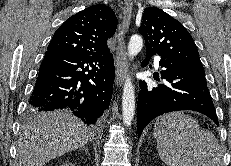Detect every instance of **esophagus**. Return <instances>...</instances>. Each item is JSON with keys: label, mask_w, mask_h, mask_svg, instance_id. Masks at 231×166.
Returning <instances> with one entry per match:
<instances>
[{"label": "esophagus", "mask_w": 231, "mask_h": 166, "mask_svg": "<svg viewBox=\"0 0 231 166\" xmlns=\"http://www.w3.org/2000/svg\"><path fill=\"white\" fill-rule=\"evenodd\" d=\"M133 2L132 0H124L123 7V27L127 31L132 14ZM127 72V51L125 41L119 42L116 51V80L115 83L117 86L123 84L125 75Z\"/></svg>", "instance_id": "1"}]
</instances>
